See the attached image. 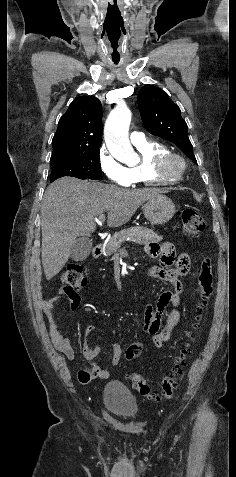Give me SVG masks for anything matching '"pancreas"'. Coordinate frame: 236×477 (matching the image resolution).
Returning a JSON list of instances; mask_svg holds the SVG:
<instances>
[{
    "instance_id": "pancreas-1",
    "label": "pancreas",
    "mask_w": 236,
    "mask_h": 477,
    "mask_svg": "<svg viewBox=\"0 0 236 477\" xmlns=\"http://www.w3.org/2000/svg\"><path fill=\"white\" fill-rule=\"evenodd\" d=\"M152 229L145 227H131L115 233L107 242L105 253L107 255L115 254L121 244L125 241H132L140 245H148L150 243H157L162 240Z\"/></svg>"
}]
</instances>
